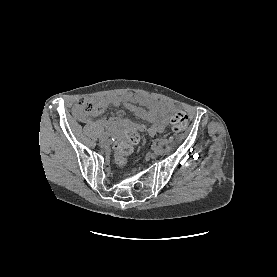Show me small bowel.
Masks as SVG:
<instances>
[{"label": "small bowel", "mask_w": 277, "mask_h": 277, "mask_svg": "<svg viewBox=\"0 0 277 277\" xmlns=\"http://www.w3.org/2000/svg\"><path fill=\"white\" fill-rule=\"evenodd\" d=\"M94 102L100 107L124 105L133 114L150 123L148 132L151 135L160 133L165 129L168 115L172 109V106L166 102L153 100L134 93H120L111 97L95 99ZM135 103L145 104L147 109ZM81 120L87 121L84 118H81ZM97 124L111 132H118L127 124V120L121 117H111L108 120L99 119Z\"/></svg>", "instance_id": "obj_1"}]
</instances>
